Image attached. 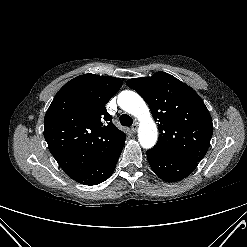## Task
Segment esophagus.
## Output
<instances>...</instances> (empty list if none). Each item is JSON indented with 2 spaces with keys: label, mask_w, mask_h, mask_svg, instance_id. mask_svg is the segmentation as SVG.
Wrapping results in <instances>:
<instances>
[{
  "label": "esophagus",
  "mask_w": 247,
  "mask_h": 247,
  "mask_svg": "<svg viewBox=\"0 0 247 247\" xmlns=\"http://www.w3.org/2000/svg\"><path fill=\"white\" fill-rule=\"evenodd\" d=\"M137 129H138V124L137 123L133 124L131 127L132 132L136 133Z\"/></svg>",
  "instance_id": "esophagus-1"
}]
</instances>
